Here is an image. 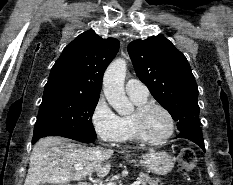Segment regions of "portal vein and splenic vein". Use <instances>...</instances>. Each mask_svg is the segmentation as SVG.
Listing matches in <instances>:
<instances>
[{
	"label": "portal vein and splenic vein",
	"instance_id": "1",
	"mask_svg": "<svg viewBox=\"0 0 233 185\" xmlns=\"http://www.w3.org/2000/svg\"><path fill=\"white\" fill-rule=\"evenodd\" d=\"M74 169L75 170H82L83 169V165L77 164V165L74 166ZM104 185H116V184L114 182H109V183H106ZM132 185H140V182L136 181Z\"/></svg>",
	"mask_w": 233,
	"mask_h": 185
}]
</instances>
